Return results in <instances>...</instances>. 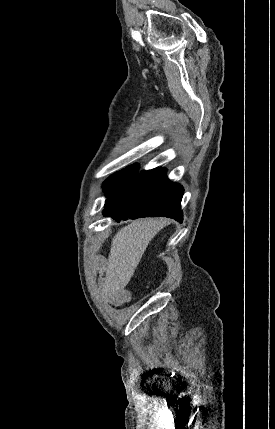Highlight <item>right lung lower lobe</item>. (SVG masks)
<instances>
[{"label":"right lung lower lobe","mask_w":275,"mask_h":429,"mask_svg":"<svg viewBox=\"0 0 275 429\" xmlns=\"http://www.w3.org/2000/svg\"><path fill=\"white\" fill-rule=\"evenodd\" d=\"M183 187L166 178L164 168L142 171L105 202L104 216L117 222L141 217H169L182 222Z\"/></svg>","instance_id":"98d812e1"}]
</instances>
